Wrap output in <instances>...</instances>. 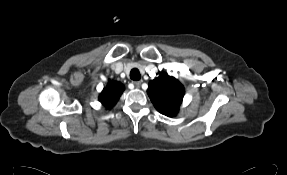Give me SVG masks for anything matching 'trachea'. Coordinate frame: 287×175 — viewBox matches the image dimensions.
I'll return each mask as SVG.
<instances>
[{
  "instance_id": "trachea-1",
  "label": "trachea",
  "mask_w": 287,
  "mask_h": 175,
  "mask_svg": "<svg viewBox=\"0 0 287 175\" xmlns=\"http://www.w3.org/2000/svg\"><path fill=\"white\" fill-rule=\"evenodd\" d=\"M130 78L134 81H138L141 78L140 72L138 69L134 68L130 72Z\"/></svg>"
}]
</instances>
